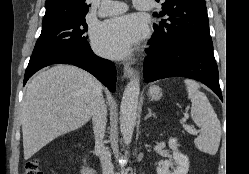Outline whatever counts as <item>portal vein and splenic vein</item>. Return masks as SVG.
<instances>
[{"label":"portal vein and splenic vein","mask_w":249,"mask_h":174,"mask_svg":"<svg viewBox=\"0 0 249 174\" xmlns=\"http://www.w3.org/2000/svg\"><path fill=\"white\" fill-rule=\"evenodd\" d=\"M188 119V115H185V117L182 119L183 127L186 131H188L192 135H196L197 131L193 130L191 126L184 124V122Z\"/></svg>","instance_id":"portal-vein-and-splenic-vein-1"}]
</instances>
